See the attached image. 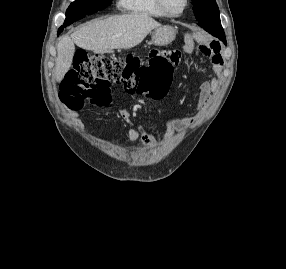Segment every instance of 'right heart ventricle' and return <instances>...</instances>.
I'll list each match as a JSON object with an SVG mask.
<instances>
[{"mask_svg": "<svg viewBox=\"0 0 286 269\" xmlns=\"http://www.w3.org/2000/svg\"><path fill=\"white\" fill-rule=\"evenodd\" d=\"M121 11L134 16L164 18L166 15L160 10L156 0H118Z\"/></svg>", "mask_w": 286, "mask_h": 269, "instance_id": "1", "label": "right heart ventricle"}]
</instances>
